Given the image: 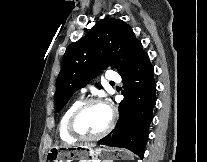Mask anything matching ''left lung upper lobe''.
Masks as SVG:
<instances>
[{"label": "left lung upper lobe", "mask_w": 207, "mask_h": 162, "mask_svg": "<svg viewBox=\"0 0 207 162\" xmlns=\"http://www.w3.org/2000/svg\"><path fill=\"white\" fill-rule=\"evenodd\" d=\"M144 51L132 28L122 20L105 18L79 41L68 46L56 82L55 112L74 92L111 65L122 74Z\"/></svg>", "instance_id": "obj_1"}]
</instances>
